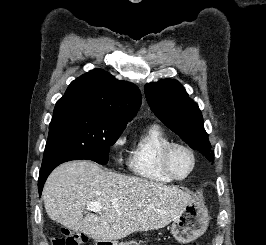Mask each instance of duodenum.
Returning <instances> with one entry per match:
<instances>
[{
  "mask_svg": "<svg viewBox=\"0 0 266 245\" xmlns=\"http://www.w3.org/2000/svg\"><path fill=\"white\" fill-rule=\"evenodd\" d=\"M114 237H93V245H113Z\"/></svg>",
  "mask_w": 266,
  "mask_h": 245,
  "instance_id": "1",
  "label": "duodenum"
}]
</instances>
